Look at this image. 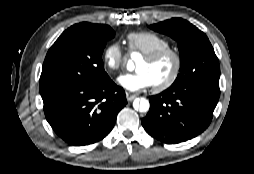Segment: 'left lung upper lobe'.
<instances>
[{
    "label": "left lung upper lobe",
    "instance_id": "obj_1",
    "mask_svg": "<svg viewBox=\"0 0 254 174\" xmlns=\"http://www.w3.org/2000/svg\"><path fill=\"white\" fill-rule=\"evenodd\" d=\"M178 42L180 73L171 87L194 82L219 83L220 66L207 36L188 21L172 18L150 26Z\"/></svg>",
    "mask_w": 254,
    "mask_h": 174
}]
</instances>
